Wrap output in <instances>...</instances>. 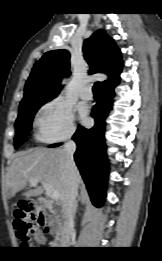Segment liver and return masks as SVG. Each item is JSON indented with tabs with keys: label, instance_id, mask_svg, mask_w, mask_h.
Segmentation results:
<instances>
[{
	"label": "liver",
	"instance_id": "obj_1",
	"mask_svg": "<svg viewBox=\"0 0 162 261\" xmlns=\"http://www.w3.org/2000/svg\"><path fill=\"white\" fill-rule=\"evenodd\" d=\"M79 173V172H78ZM38 178L47 182L59 192V201L62 202L67 188L66 155L60 148H35L20 153L12 162L7 175V197L25 189L30 179ZM82 180L78 174L77 185ZM44 192L42 186L36 185L28 190L25 195L39 196Z\"/></svg>",
	"mask_w": 162,
	"mask_h": 261
}]
</instances>
